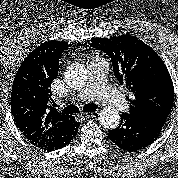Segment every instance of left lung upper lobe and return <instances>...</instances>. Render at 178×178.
I'll return each instance as SVG.
<instances>
[{
  "label": "left lung upper lobe",
  "mask_w": 178,
  "mask_h": 178,
  "mask_svg": "<svg viewBox=\"0 0 178 178\" xmlns=\"http://www.w3.org/2000/svg\"><path fill=\"white\" fill-rule=\"evenodd\" d=\"M91 46L111 58L115 77L133 94L129 114L169 116L174 101L172 79L150 46L131 35L92 38Z\"/></svg>",
  "instance_id": "1"
}]
</instances>
